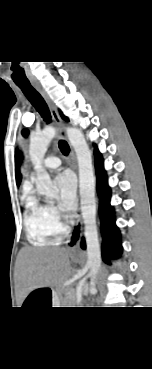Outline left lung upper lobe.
Listing matches in <instances>:
<instances>
[{"label":"left lung upper lobe","instance_id":"5c2ea615","mask_svg":"<svg viewBox=\"0 0 152 369\" xmlns=\"http://www.w3.org/2000/svg\"><path fill=\"white\" fill-rule=\"evenodd\" d=\"M61 116H62V118L64 119V120H66V121H69V119L67 118V117H65L62 113H61ZM22 134H23V136H27L28 135V131L27 130H23L22 131Z\"/></svg>","mask_w":152,"mask_h":369}]
</instances>
